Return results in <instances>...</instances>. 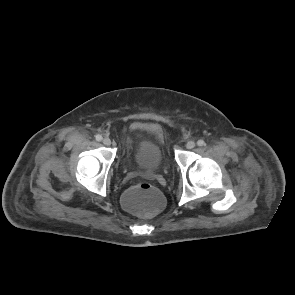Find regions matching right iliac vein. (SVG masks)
<instances>
[{
  "label": "right iliac vein",
  "instance_id": "63e3f726",
  "mask_svg": "<svg viewBox=\"0 0 295 295\" xmlns=\"http://www.w3.org/2000/svg\"><path fill=\"white\" fill-rule=\"evenodd\" d=\"M103 144L106 145V146H110V145H111V140H110V138L105 137V138L103 139Z\"/></svg>",
  "mask_w": 295,
  "mask_h": 295
}]
</instances>
